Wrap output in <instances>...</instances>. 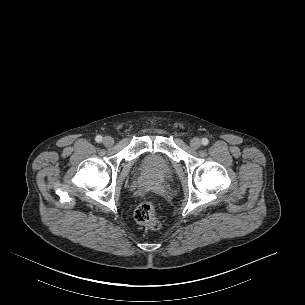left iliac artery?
<instances>
[{"label":"left iliac artery","instance_id":"1","mask_svg":"<svg viewBox=\"0 0 305 305\" xmlns=\"http://www.w3.org/2000/svg\"><path fill=\"white\" fill-rule=\"evenodd\" d=\"M208 143H209V140H208L207 138H203V139H202V144H203L204 146L208 145Z\"/></svg>","mask_w":305,"mask_h":305}]
</instances>
